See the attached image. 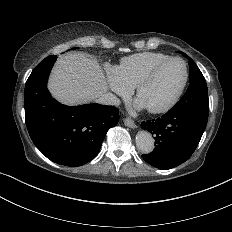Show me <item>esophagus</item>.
Wrapping results in <instances>:
<instances>
[{"instance_id":"esophagus-1","label":"esophagus","mask_w":232,"mask_h":232,"mask_svg":"<svg viewBox=\"0 0 232 232\" xmlns=\"http://www.w3.org/2000/svg\"><path fill=\"white\" fill-rule=\"evenodd\" d=\"M123 122L127 127L137 128V125L134 123V121L131 118H124Z\"/></svg>"}]
</instances>
